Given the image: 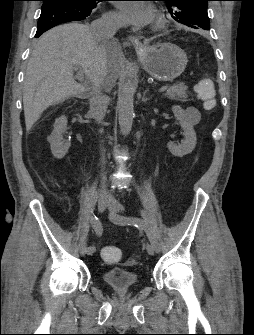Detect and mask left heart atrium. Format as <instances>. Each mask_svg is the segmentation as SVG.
Wrapping results in <instances>:
<instances>
[{"mask_svg": "<svg viewBox=\"0 0 254 335\" xmlns=\"http://www.w3.org/2000/svg\"><path fill=\"white\" fill-rule=\"evenodd\" d=\"M126 24L142 28L152 24L155 12L153 8L142 1H121L118 3Z\"/></svg>", "mask_w": 254, "mask_h": 335, "instance_id": "left-heart-atrium-1", "label": "left heart atrium"}]
</instances>
